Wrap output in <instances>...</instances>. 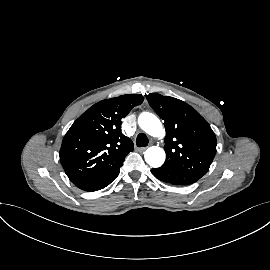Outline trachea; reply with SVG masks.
I'll return each mask as SVG.
<instances>
[{
  "mask_svg": "<svg viewBox=\"0 0 270 270\" xmlns=\"http://www.w3.org/2000/svg\"><path fill=\"white\" fill-rule=\"evenodd\" d=\"M148 137L144 133H140L136 138V145L138 147H145L148 145Z\"/></svg>",
  "mask_w": 270,
  "mask_h": 270,
  "instance_id": "1",
  "label": "trachea"
}]
</instances>
